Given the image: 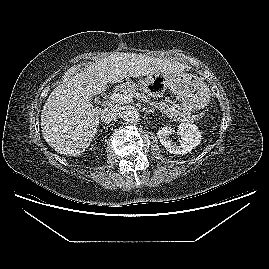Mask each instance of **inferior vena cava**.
Segmentation results:
<instances>
[{
	"label": "inferior vena cava",
	"instance_id": "602c4592",
	"mask_svg": "<svg viewBox=\"0 0 269 269\" xmlns=\"http://www.w3.org/2000/svg\"><path fill=\"white\" fill-rule=\"evenodd\" d=\"M121 111V107L112 105L102 110L101 119L103 122L109 124L113 119L121 115Z\"/></svg>",
	"mask_w": 269,
	"mask_h": 269
}]
</instances>
